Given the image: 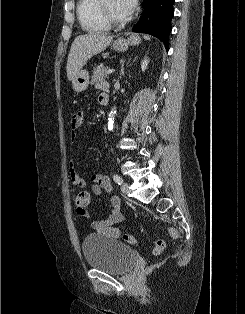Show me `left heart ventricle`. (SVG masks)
Returning a JSON list of instances; mask_svg holds the SVG:
<instances>
[{"mask_svg":"<svg viewBox=\"0 0 245 314\" xmlns=\"http://www.w3.org/2000/svg\"><path fill=\"white\" fill-rule=\"evenodd\" d=\"M104 8L106 13L115 20L126 18L129 13L124 11L118 4L117 0H104Z\"/></svg>","mask_w":245,"mask_h":314,"instance_id":"b2bd125f","label":"left heart ventricle"}]
</instances>
